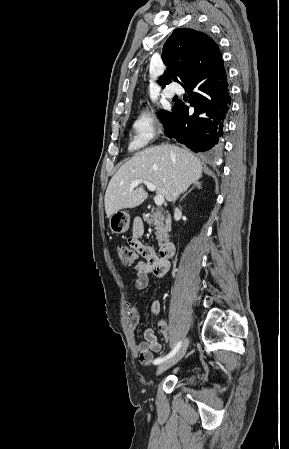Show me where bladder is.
I'll use <instances>...</instances> for the list:
<instances>
[{
	"label": "bladder",
	"mask_w": 289,
	"mask_h": 449,
	"mask_svg": "<svg viewBox=\"0 0 289 449\" xmlns=\"http://www.w3.org/2000/svg\"><path fill=\"white\" fill-rule=\"evenodd\" d=\"M195 375H189L187 378H185V383H192L195 380Z\"/></svg>",
	"instance_id": "31cf9c89"
}]
</instances>
